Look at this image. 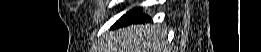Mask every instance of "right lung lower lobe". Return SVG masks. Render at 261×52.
I'll use <instances>...</instances> for the list:
<instances>
[{"label":"right lung lower lobe","mask_w":261,"mask_h":52,"mask_svg":"<svg viewBox=\"0 0 261 52\" xmlns=\"http://www.w3.org/2000/svg\"><path fill=\"white\" fill-rule=\"evenodd\" d=\"M148 21H150V17L143 14L140 8H135L126 13V15H124L123 17H121L113 27H116L118 25H127L131 23H145Z\"/></svg>","instance_id":"98d812e1"}]
</instances>
